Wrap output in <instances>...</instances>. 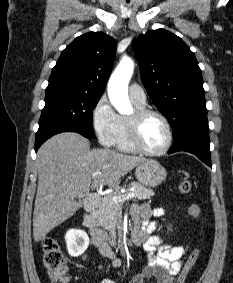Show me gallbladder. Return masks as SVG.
<instances>
[{
    "mask_svg": "<svg viewBox=\"0 0 233 283\" xmlns=\"http://www.w3.org/2000/svg\"><path fill=\"white\" fill-rule=\"evenodd\" d=\"M78 203H79V208L82 207V204H83V203H82V200H81V199H79Z\"/></svg>",
    "mask_w": 233,
    "mask_h": 283,
    "instance_id": "bac80fb5",
    "label": "gallbladder"
}]
</instances>
